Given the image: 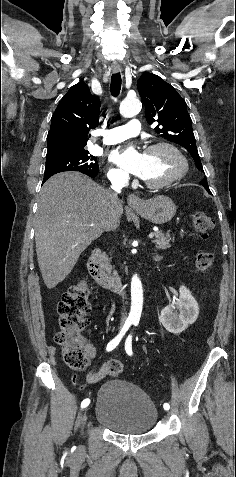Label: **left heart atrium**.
Returning a JSON list of instances; mask_svg holds the SVG:
<instances>
[{"instance_id": "1", "label": "left heart atrium", "mask_w": 236, "mask_h": 477, "mask_svg": "<svg viewBox=\"0 0 236 477\" xmlns=\"http://www.w3.org/2000/svg\"><path fill=\"white\" fill-rule=\"evenodd\" d=\"M112 159L127 172L142 177L144 173L145 154L129 146L112 153Z\"/></svg>"}]
</instances>
